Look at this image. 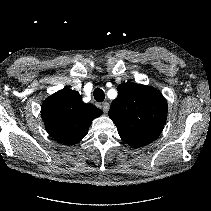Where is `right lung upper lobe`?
Returning <instances> with one entry per match:
<instances>
[{
  "instance_id": "right-lung-upper-lobe-1",
  "label": "right lung upper lobe",
  "mask_w": 211,
  "mask_h": 211,
  "mask_svg": "<svg viewBox=\"0 0 211 211\" xmlns=\"http://www.w3.org/2000/svg\"><path fill=\"white\" fill-rule=\"evenodd\" d=\"M102 113L94 105L84 103L81 95L69 88L48 97L41 108L42 119L51 137L66 145L81 141L92 120Z\"/></svg>"
}]
</instances>
